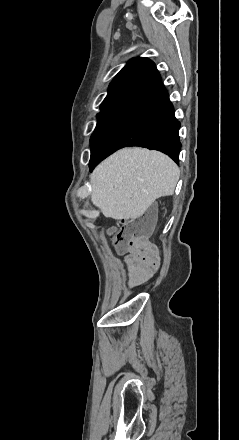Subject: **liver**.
Wrapping results in <instances>:
<instances>
[{"label":"liver","instance_id":"liver-1","mask_svg":"<svg viewBox=\"0 0 239 440\" xmlns=\"http://www.w3.org/2000/svg\"><path fill=\"white\" fill-rule=\"evenodd\" d=\"M180 170L168 156L123 148L91 174V202L106 218L136 220L161 196H172Z\"/></svg>","mask_w":239,"mask_h":440}]
</instances>
